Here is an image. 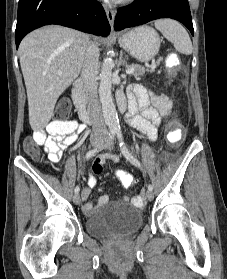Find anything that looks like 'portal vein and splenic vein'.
Wrapping results in <instances>:
<instances>
[{
	"mask_svg": "<svg viewBox=\"0 0 227 279\" xmlns=\"http://www.w3.org/2000/svg\"><path fill=\"white\" fill-rule=\"evenodd\" d=\"M134 70H135L134 67H129V68L126 69V73H127V74H131V73L134 72Z\"/></svg>",
	"mask_w": 227,
	"mask_h": 279,
	"instance_id": "1",
	"label": "portal vein and splenic vein"
}]
</instances>
